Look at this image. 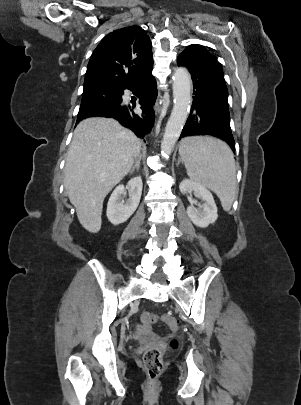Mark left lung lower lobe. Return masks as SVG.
Masks as SVG:
<instances>
[{"instance_id": "0a47b994", "label": "left lung lower lobe", "mask_w": 301, "mask_h": 405, "mask_svg": "<svg viewBox=\"0 0 301 405\" xmlns=\"http://www.w3.org/2000/svg\"><path fill=\"white\" fill-rule=\"evenodd\" d=\"M177 64L186 67L194 81L191 113L180 139L198 135L214 136L224 140L235 152L225 80L206 63L195 58L179 55Z\"/></svg>"}]
</instances>
